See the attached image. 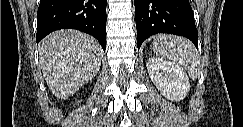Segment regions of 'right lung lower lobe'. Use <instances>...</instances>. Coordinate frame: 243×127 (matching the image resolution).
<instances>
[{
  "mask_svg": "<svg viewBox=\"0 0 243 127\" xmlns=\"http://www.w3.org/2000/svg\"><path fill=\"white\" fill-rule=\"evenodd\" d=\"M107 0H41L36 42L59 29H77L94 36L106 49Z\"/></svg>",
  "mask_w": 243,
  "mask_h": 127,
  "instance_id": "right-lung-lower-lobe-1",
  "label": "right lung lower lobe"
}]
</instances>
